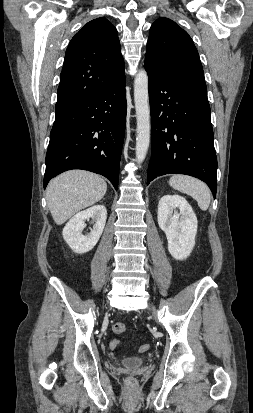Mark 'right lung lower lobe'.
<instances>
[{"label":"right lung lower lobe","mask_w":253,"mask_h":413,"mask_svg":"<svg viewBox=\"0 0 253 413\" xmlns=\"http://www.w3.org/2000/svg\"><path fill=\"white\" fill-rule=\"evenodd\" d=\"M126 110L124 74L103 91L56 111L44 188L64 171L84 169L105 176L117 190Z\"/></svg>","instance_id":"obj_1"}]
</instances>
